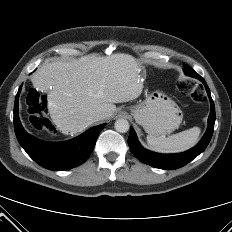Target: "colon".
Segmentation results:
<instances>
[{"label":"colon","mask_w":232,"mask_h":232,"mask_svg":"<svg viewBox=\"0 0 232 232\" xmlns=\"http://www.w3.org/2000/svg\"><path fill=\"white\" fill-rule=\"evenodd\" d=\"M179 90L192 98L193 101L201 103L205 100L203 88L189 79H181L178 82ZM26 104L29 112L30 124L38 130L46 128V106L47 101L35 89H30L26 96Z\"/></svg>","instance_id":"1"}]
</instances>
